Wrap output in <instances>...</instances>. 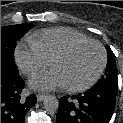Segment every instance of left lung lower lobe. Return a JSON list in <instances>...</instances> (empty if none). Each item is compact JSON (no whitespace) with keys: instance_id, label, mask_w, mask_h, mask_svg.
<instances>
[{"instance_id":"left-lung-lower-lobe-1","label":"left lung lower lobe","mask_w":123,"mask_h":123,"mask_svg":"<svg viewBox=\"0 0 123 123\" xmlns=\"http://www.w3.org/2000/svg\"><path fill=\"white\" fill-rule=\"evenodd\" d=\"M117 89L95 87L84 94L59 100L57 123H109L115 108Z\"/></svg>"}]
</instances>
